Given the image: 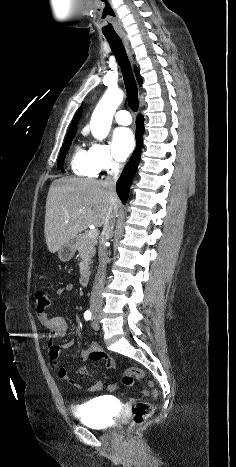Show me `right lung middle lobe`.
<instances>
[{
    "label": "right lung middle lobe",
    "mask_w": 236,
    "mask_h": 467,
    "mask_svg": "<svg viewBox=\"0 0 236 467\" xmlns=\"http://www.w3.org/2000/svg\"><path fill=\"white\" fill-rule=\"evenodd\" d=\"M75 136V133L72 134H67L66 139L64 141V144L62 145V148L60 150L59 158H58V169L63 167V162L64 158L66 156V153L71 145V141L73 140V137Z\"/></svg>",
    "instance_id": "dd1d6c3e"
}]
</instances>
